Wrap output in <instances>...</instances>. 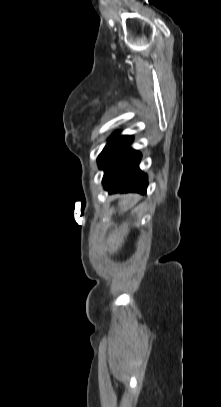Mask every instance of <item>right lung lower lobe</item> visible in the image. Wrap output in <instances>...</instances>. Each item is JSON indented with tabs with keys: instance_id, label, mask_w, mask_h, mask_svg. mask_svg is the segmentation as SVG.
Instances as JSON below:
<instances>
[{
	"instance_id": "1",
	"label": "right lung lower lobe",
	"mask_w": 221,
	"mask_h": 407,
	"mask_svg": "<svg viewBox=\"0 0 221 407\" xmlns=\"http://www.w3.org/2000/svg\"><path fill=\"white\" fill-rule=\"evenodd\" d=\"M131 138L104 169L103 185L113 192L146 193L147 175L139 169L141 153L133 150Z\"/></svg>"
}]
</instances>
